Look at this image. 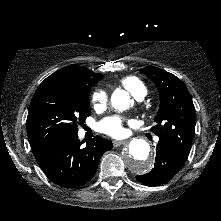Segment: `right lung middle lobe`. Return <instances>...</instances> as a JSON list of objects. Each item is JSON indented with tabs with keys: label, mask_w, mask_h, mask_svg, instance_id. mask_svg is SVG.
<instances>
[{
	"label": "right lung middle lobe",
	"mask_w": 221,
	"mask_h": 221,
	"mask_svg": "<svg viewBox=\"0 0 221 221\" xmlns=\"http://www.w3.org/2000/svg\"><path fill=\"white\" fill-rule=\"evenodd\" d=\"M102 77L86 80L46 78L37 88L28 111L27 134L31 147L78 132V123L91 114V88Z\"/></svg>",
	"instance_id": "right-lung-middle-lobe-1"
}]
</instances>
